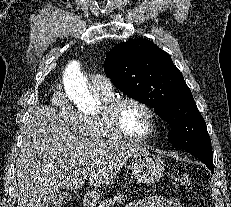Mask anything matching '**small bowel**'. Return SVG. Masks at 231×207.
I'll list each match as a JSON object with an SVG mask.
<instances>
[{
	"label": "small bowel",
	"mask_w": 231,
	"mask_h": 207,
	"mask_svg": "<svg viewBox=\"0 0 231 207\" xmlns=\"http://www.w3.org/2000/svg\"><path fill=\"white\" fill-rule=\"evenodd\" d=\"M128 207H182L177 199L149 196L131 203Z\"/></svg>",
	"instance_id": "1"
}]
</instances>
